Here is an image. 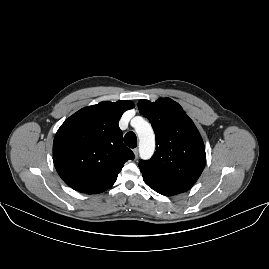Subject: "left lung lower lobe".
<instances>
[{"mask_svg": "<svg viewBox=\"0 0 269 269\" xmlns=\"http://www.w3.org/2000/svg\"><path fill=\"white\" fill-rule=\"evenodd\" d=\"M143 180L150 188L164 196L183 193L192 187L188 184L160 181L147 176H143Z\"/></svg>", "mask_w": 269, "mask_h": 269, "instance_id": "left-lung-lower-lobe-1", "label": "left lung lower lobe"}]
</instances>
